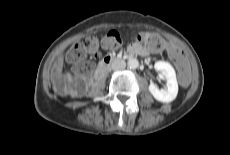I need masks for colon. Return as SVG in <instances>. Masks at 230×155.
<instances>
[{"mask_svg":"<svg viewBox=\"0 0 230 155\" xmlns=\"http://www.w3.org/2000/svg\"><path fill=\"white\" fill-rule=\"evenodd\" d=\"M139 40L148 46L153 47H166L169 56L177 64L179 68V79L177 88L184 90L191 84L192 81V68L190 64V56L183 53L182 50L176 46L166 43L164 38L159 35L151 33H143L139 35ZM102 46L108 50H115L122 44L121 36L117 31H109L102 39ZM98 49V42L95 38L89 37L82 42L76 43L71 46L67 53L66 59L73 63L74 72L77 75V84L83 85V79L91 76L93 72V64L88 62V54H96ZM54 88L59 93H67L69 87L65 78L59 72L53 74Z\"/></svg>","mask_w":230,"mask_h":155,"instance_id":"5ec220e1","label":"colon"}]
</instances>
